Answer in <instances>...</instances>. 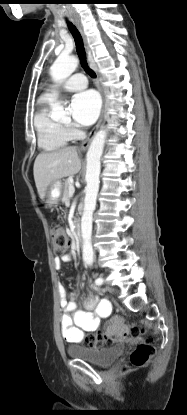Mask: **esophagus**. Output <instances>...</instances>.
I'll use <instances>...</instances> for the list:
<instances>
[{"label":"esophagus","mask_w":187,"mask_h":415,"mask_svg":"<svg viewBox=\"0 0 187 415\" xmlns=\"http://www.w3.org/2000/svg\"><path fill=\"white\" fill-rule=\"evenodd\" d=\"M75 24H76V26H77V28H78V30H79V32L81 33V35H82V37H83V40H84V43H85V45L87 44L86 43V38H85V35H84V32H83V29H82V27H81V25H80V23L78 22V21H76L75 22ZM100 91L102 92V90L100 89ZM105 107H106V99H105V96H103V105H102V109H101V114H100V117H99V120H98V122H97V124H96V126L93 128V130L91 131V133L89 134V137L81 144V149L82 150H85L88 146H89V144H90V142H91V140H92V138H93V136H94V134L96 133V131L98 130V128H99V126L101 125V123H102V120H103V116H104V113H105Z\"/></svg>","instance_id":"obj_1"}]
</instances>
